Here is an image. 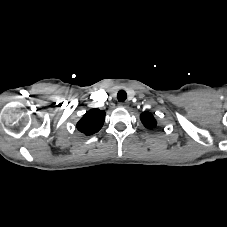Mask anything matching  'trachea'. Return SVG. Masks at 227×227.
<instances>
[{"mask_svg": "<svg viewBox=\"0 0 227 227\" xmlns=\"http://www.w3.org/2000/svg\"><path fill=\"white\" fill-rule=\"evenodd\" d=\"M127 98V94L124 90H120L117 94V99L119 102H124Z\"/></svg>", "mask_w": 227, "mask_h": 227, "instance_id": "obj_1", "label": "trachea"}]
</instances>
